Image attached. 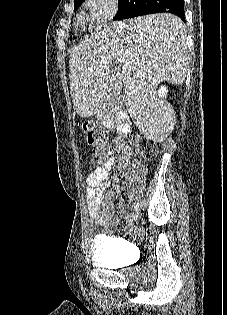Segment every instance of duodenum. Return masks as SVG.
I'll list each match as a JSON object with an SVG mask.
<instances>
[{
	"instance_id": "obj_1",
	"label": "duodenum",
	"mask_w": 227,
	"mask_h": 315,
	"mask_svg": "<svg viewBox=\"0 0 227 315\" xmlns=\"http://www.w3.org/2000/svg\"><path fill=\"white\" fill-rule=\"evenodd\" d=\"M104 118L109 127L119 130L122 134L127 133L129 129L128 115L121 107L115 105Z\"/></svg>"
}]
</instances>
